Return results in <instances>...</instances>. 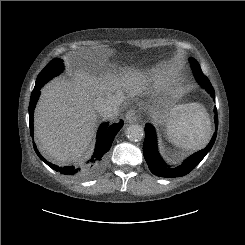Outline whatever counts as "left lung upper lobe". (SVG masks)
<instances>
[{
	"label": "left lung upper lobe",
	"mask_w": 245,
	"mask_h": 245,
	"mask_svg": "<svg viewBox=\"0 0 245 245\" xmlns=\"http://www.w3.org/2000/svg\"><path fill=\"white\" fill-rule=\"evenodd\" d=\"M191 68L193 70L194 76L196 80L198 81L199 84L203 85L205 84H210V81L207 79V77L202 73L200 65L194 58L189 59Z\"/></svg>",
	"instance_id": "left-lung-upper-lobe-1"
}]
</instances>
